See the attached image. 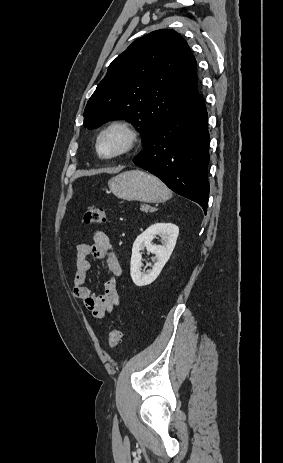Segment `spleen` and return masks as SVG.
<instances>
[{
  "label": "spleen",
  "mask_w": 283,
  "mask_h": 463,
  "mask_svg": "<svg viewBox=\"0 0 283 463\" xmlns=\"http://www.w3.org/2000/svg\"><path fill=\"white\" fill-rule=\"evenodd\" d=\"M165 186H166V185H165ZM167 189H168V188H167ZM168 190H169V189H168ZM170 197H171V191L169 190V197H168V198H170ZM168 198H167V199H168Z\"/></svg>",
  "instance_id": "obj_1"
}]
</instances>
